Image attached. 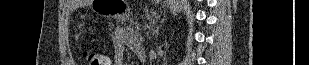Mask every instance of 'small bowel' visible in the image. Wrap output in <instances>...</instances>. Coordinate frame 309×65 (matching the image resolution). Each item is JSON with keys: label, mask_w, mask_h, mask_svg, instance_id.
I'll list each match as a JSON object with an SVG mask.
<instances>
[{"label": "small bowel", "mask_w": 309, "mask_h": 65, "mask_svg": "<svg viewBox=\"0 0 309 65\" xmlns=\"http://www.w3.org/2000/svg\"><path fill=\"white\" fill-rule=\"evenodd\" d=\"M139 46H142L141 40L133 29L119 27L113 37V57L105 56L106 64L104 65H125L123 60L125 49L128 48L135 52Z\"/></svg>", "instance_id": "obj_1"}]
</instances>
